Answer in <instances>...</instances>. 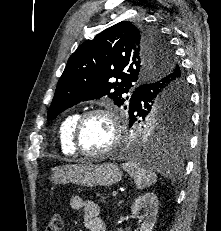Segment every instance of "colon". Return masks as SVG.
Listing matches in <instances>:
<instances>
[{"mask_svg": "<svg viewBox=\"0 0 221 231\" xmlns=\"http://www.w3.org/2000/svg\"><path fill=\"white\" fill-rule=\"evenodd\" d=\"M63 228V219L60 214H54L50 217L46 231H61Z\"/></svg>", "mask_w": 221, "mask_h": 231, "instance_id": "1", "label": "colon"}]
</instances>
